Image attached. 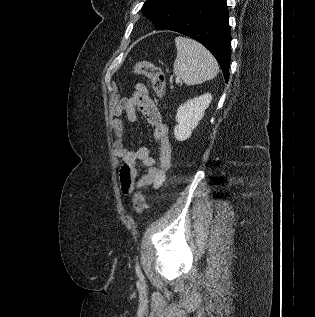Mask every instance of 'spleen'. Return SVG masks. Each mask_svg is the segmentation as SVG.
I'll list each match as a JSON object with an SVG mask.
<instances>
[{
    "label": "spleen",
    "mask_w": 315,
    "mask_h": 317,
    "mask_svg": "<svg viewBox=\"0 0 315 317\" xmlns=\"http://www.w3.org/2000/svg\"><path fill=\"white\" fill-rule=\"evenodd\" d=\"M177 57L174 74L186 85L201 84L215 78L219 66L213 55L199 42L178 36L175 38Z\"/></svg>",
    "instance_id": "spleen-1"
}]
</instances>
